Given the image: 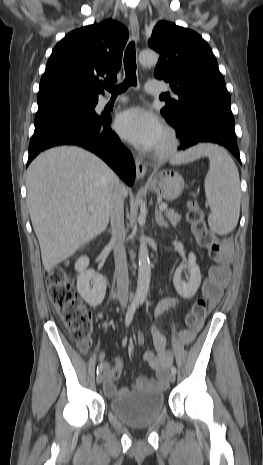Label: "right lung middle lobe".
Wrapping results in <instances>:
<instances>
[{
	"label": "right lung middle lobe",
	"mask_w": 263,
	"mask_h": 465,
	"mask_svg": "<svg viewBox=\"0 0 263 465\" xmlns=\"http://www.w3.org/2000/svg\"><path fill=\"white\" fill-rule=\"evenodd\" d=\"M97 99L61 96L38 101L35 119L53 113H74L82 116H98L95 113Z\"/></svg>",
	"instance_id": "obj_1"
}]
</instances>
